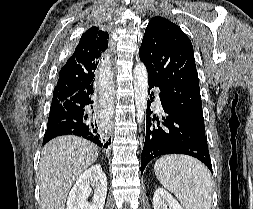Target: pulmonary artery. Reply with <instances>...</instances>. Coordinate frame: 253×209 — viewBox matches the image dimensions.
I'll list each match as a JSON object with an SVG mask.
<instances>
[{
    "label": "pulmonary artery",
    "mask_w": 253,
    "mask_h": 209,
    "mask_svg": "<svg viewBox=\"0 0 253 209\" xmlns=\"http://www.w3.org/2000/svg\"><path fill=\"white\" fill-rule=\"evenodd\" d=\"M159 108L161 109V105L159 104Z\"/></svg>",
    "instance_id": "obj_1"
}]
</instances>
